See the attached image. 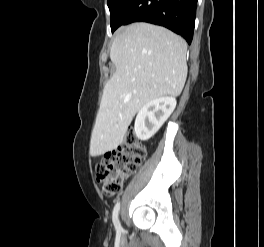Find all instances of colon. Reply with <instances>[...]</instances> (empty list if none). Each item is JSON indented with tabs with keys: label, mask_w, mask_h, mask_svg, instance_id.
Wrapping results in <instances>:
<instances>
[{
	"label": "colon",
	"mask_w": 264,
	"mask_h": 247,
	"mask_svg": "<svg viewBox=\"0 0 264 247\" xmlns=\"http://www.w3.org/2000/svg\"><path fill=\"white\" fill-rule=\"evenodd\" d=\"M146 148L133 132H129L119 147L96 165L95 176L103 185V192L113 196L121 192L125 180L137 170L146 157Z\"/></svg>",
	"instance_id": "colon-1"
}]
</instances>
